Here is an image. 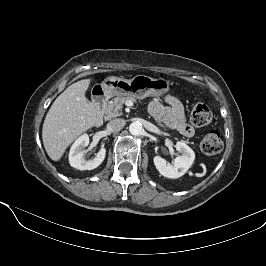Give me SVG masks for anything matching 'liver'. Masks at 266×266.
<instances>
[{"label":"liver","mask_w":266,"mask_h":266,"mask_svg":"<svg viewBox=\"0 0 266 266\" xmlns=\"http://www.w3.org/2000/svg\"><path fill=\"white\" fill-rule=\"evenodd\" d=\"M91 79L68 86L50 107L42 128V139L48 156L59 161L67 147L83 132L95 126L96 110L86 98Z\"/></svg>","instance_id":"1"}]
</instances>
